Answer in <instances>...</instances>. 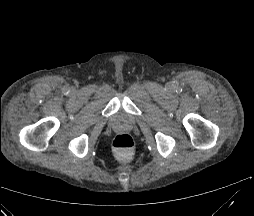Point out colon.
I'll return each mask as SVG.
<instances>
[{
  "mask_svg": "<svg viewBox=\"0 0 254 216\" xmlns=\"http://www.w3.org/2000/svg\"><path fill=\"white\" fill-rule=\"evenodd\" d=\"M133 146V139L127 133L118 134L113 142V147L117 155L122 158H127L132 154Z\"/></svg>",
  "mask_w": 254,
  "mask_h": 216,
  "instance_id": "obj_1",
  "label": "colon"
}]
</instances>
